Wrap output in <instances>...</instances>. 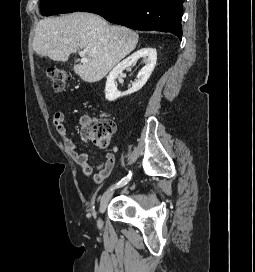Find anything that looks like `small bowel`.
I'll return each mask as SVG.
<instances>
[{
    "label": "small bowel",
    "instance_id": "1",
    "mask_svg": "<svg viewBox=\"0 0 255 272\" xmlns=\"http://www.w3.org/2000/svg\"><path fill=\"white\" fill-rule=\"evenodd\" d=\"M64 114L56 112L53 116V124L56 132L62 137L63 144L67 152L71 155L75 163L81 167L85 175H91L94 171L93 182L97 185L102 184L109 176L115 162L114 153L106 154L105 159L99 165L90 163L89 155L82 150L71 138L68 137L66 127L64 125Z\"/></svg>",
    "mask_w": 255,
    "mask_h": 272
}]
</instances>
